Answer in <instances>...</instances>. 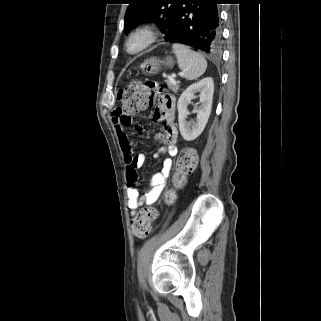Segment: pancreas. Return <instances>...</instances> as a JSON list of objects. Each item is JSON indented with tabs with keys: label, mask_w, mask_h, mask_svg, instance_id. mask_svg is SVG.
<instances>
[{
	"label": "pancreas",
	"mask_w": 321,
	"mask_h": 321,
	"mask_svg": "<svg viewBox=\"0 0 321 321\" xmlns=\"http://www.w3.org/2000/svg\"><path fill=\"white\" fill-rule=\"evenodd\" d=\"M167 85H168V88H169L170 90H172L173 92H175V93L178 92L179 85H178L177 82L169 81V82L167 83Z\"/></svg>",
	"instance_id": "cf45deb5"
}]
</instances>
